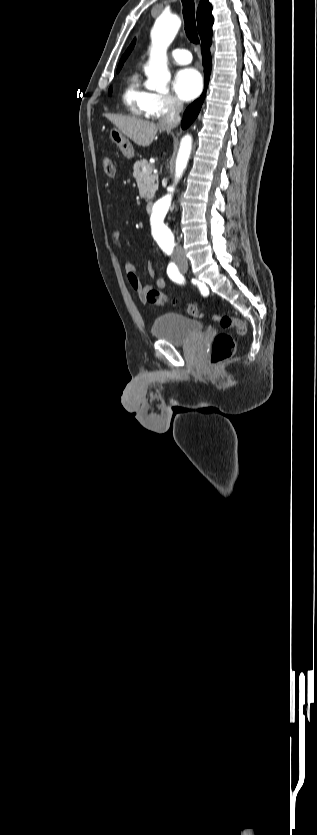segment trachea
Listing matches in <instances>:
<instances>
[{
  "instance_id": "trachea-1",
  "label": "trachea",
  "mask_w": 317,
  "mask_h": 835,
  "mask_svg": "<svg viewBox=\"0 0 317 835\" xmlns=\"http://www.w3.org/2000/svg\"><path fill=\"white\" fill-rule=\"evenodd\" d=\"M183 4V17L185 23V32L193 44H199V37L196 30L195 20V3L194 0H181Z\"/></svg>"
}]
</instances>
